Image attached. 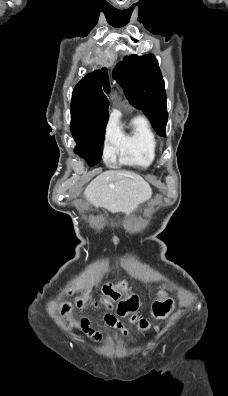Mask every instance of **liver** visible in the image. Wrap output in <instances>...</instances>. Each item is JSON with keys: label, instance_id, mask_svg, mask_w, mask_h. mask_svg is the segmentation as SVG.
<instances>
[{"label": "liver", "instance_id": "1", "mask_svg": "<svg viewBox=\"0 0 228 396\" xmlns=\"http://www.w3.org/2000/svg\"><path fill=\"white\" fill-rule=\"evenodd\" d=\"M84 194L96 208L102 207L112 213H130L151 198L152 189L135 173L109 170L97 176Z\"/></svg>", "mask_w": 228, "mask_h": 396}]
</instances>
